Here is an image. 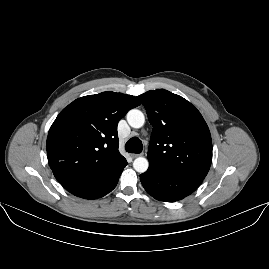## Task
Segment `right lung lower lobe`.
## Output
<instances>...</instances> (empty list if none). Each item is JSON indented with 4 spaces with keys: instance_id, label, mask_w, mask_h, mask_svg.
I'll return each instance as SVG.
<instances>
[{
    "instance_id": "1",
    "label": "right lung lower lobe",
    "mask_w": 269,
    "mask_h": 269,
    "mask_svg": "<svg viewBox=\"0 0 269 269\" xmlns=\"http://www.w3.org/2000/svg\"><path fill=\"white\" fill-rule=\"evenodd\" d=\"M126 165L127 161L122 156L99 174L73 177L60 181V183L75 196L85 199L100 198L115 188Z\"/></svg>"
}]
</instances>
